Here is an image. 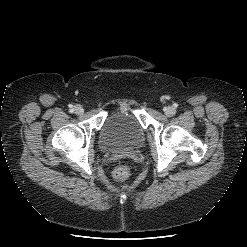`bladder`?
<instances>
[{"label":"bladder","mask_w":247,"mask_h":247,"mask_svg":"<svg viewBox=\"0 0 247 247\" xmlns=\"http://www.w3.org/2000/svg\"><path fill=\"white\" fill-rule=\"evenodd\" d=\"M144 141V129L130 111L111 113L100 131L99 144L105 150L133 149Z\"/></svg>","instance_id":"1"}]
</instances>
